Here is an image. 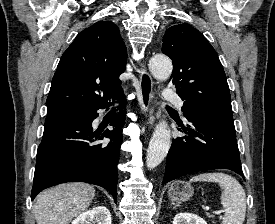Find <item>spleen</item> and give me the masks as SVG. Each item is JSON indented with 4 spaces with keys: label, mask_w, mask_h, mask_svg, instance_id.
<instances>
[{
    "label": "spleen",
    "mask_w": 275,
    "mask_h": 224,
    "mask_svg": "<svg viewBox=\"0 0 275 224\" xmlns=\"http://www.w3.org/2000/svg\"><path fill=\"white\" fill-rule=\"evenodd\" d=\"M219 183L222 194L221 204L224 207L222 224H243L246 215V195L239 182L230 175L220 172L202 173L193 176L190 182Z\"/></svg>",
    "instance_id": "1"
}]
</instances>
